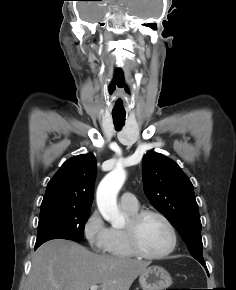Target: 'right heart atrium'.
I'll return each instance as SVG.
<instances>
[{"instance_id":"d8ad5b80","label":"right heart atrium","mask_w":236,"mask_h":290,"mask_svg":"<svg viewBox=\"0 0 236 290\" xmlns=\"http://www.w3.org/2000/svg\"><path fill=\"white\" fill-rule=\"evenodd\" d=\"M83 235L93 251H106L110 241V228L97 210H93L86 218L83 224Z\"/></svg>"}]
</instances>
